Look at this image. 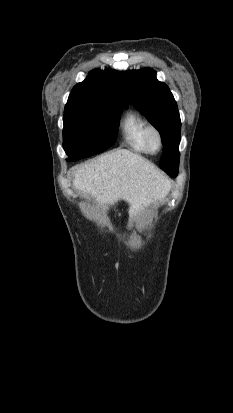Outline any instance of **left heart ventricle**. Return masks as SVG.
Listing matches in <instances>:
<instances>
[{
	"mask_svg": "<svg viewBox=\"0 0 233 413\" xmlns=\"http://www.w3.org/2000/svg\"><path fill=\"white\" fill-rule=\"evenodd\" d=\"M151 143H152V146H153L154 148L157 147V144H158V143H157V139H156L155 137L152 138Z\"/></svg>",
	"mask_w": 233,
	"mask_h": 413,
	"instance_id": "left-heart-ventricle-1",
	"label": "left heart ventricle"
}]
</instances>
